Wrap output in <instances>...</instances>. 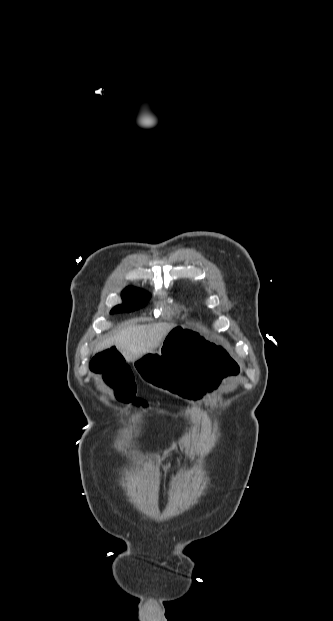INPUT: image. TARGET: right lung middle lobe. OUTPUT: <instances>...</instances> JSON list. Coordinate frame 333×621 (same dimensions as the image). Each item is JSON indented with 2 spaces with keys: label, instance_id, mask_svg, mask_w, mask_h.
<instances>
[{
  "label": "right lung middle lobe",
  "instance_id": "right-lung-middle-lobe-1",
  "mask_svg": "<svg viewBox=\"0 0 333 621\" xmlns=\"http://www.w3.org/2000/svg\"><path fill=\"white\" fill-rule=\"evenodd\" d=\"M149 298L150 295L143 290L134 287H127L122 292V299L124 300V303L122 305L115 306L111 310V313L133 311L140 306H144Z\"/></svg>",
  "mask_w": 333,
  "mask_h": 621
}]
</instances>
